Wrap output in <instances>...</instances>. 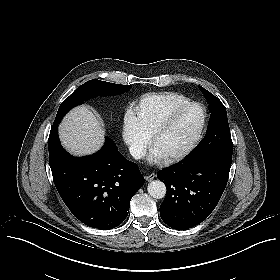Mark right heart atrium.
Here are the masks:
<instances>
[{"mask_svg": "<svg viewBox=\"0 0 280 280\" xmlns=\"http://www.w3.org/2000/svg\"><path fill=\"white\" fill-rule=\"evenodd\" d=\"M128 141L136 152L143 153L146 150L147 142L142 135L132 133L130 134Z\"/></svg>", "mask_w": 280, "mask_h": 280, "instance_id": "1", "label": "right heart atrium"}]
</instances>
